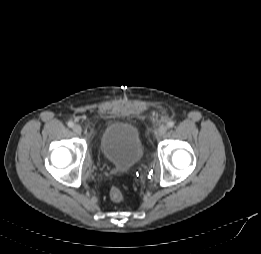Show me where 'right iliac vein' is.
Returning a JSON list of instances; mask_svg holds the SVG:
<instances>
[{
  "mask_svg": "<svg viewBox=\"0 0 261 254\" xmlns=\"http://www.w3.org/2000/svg\"><path fill=\"white\" fill-rule=\"evenodd\" d=\"M73 131L76 135H81L82 133V128L80 125L76 124L73 126Z\"/></svg>",
  "mask_w": 261,
  "mask_h": 254,
  "instance_id": "obj_1",
  "label": "right iliac vein"
}]
</instances>
